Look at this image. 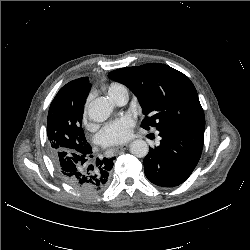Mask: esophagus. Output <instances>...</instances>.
I'll use <instances>...</instances> for the list:
<instances>
[{"label":"esophagus","instance_id":"34e87169","mask_svg":"<svg viewBox=\"0 0 250 250\" xmlns=\"http://www.w3.org/2000/svg\"><path fill=\"white\" fill-rule=\"evenodd\" d=\"M129 146V144H124V145H120L114 148L115 152H120L125 150L127 147Z\"/></svg>","mask_w":250,"mask_h":250}]
</instances>
